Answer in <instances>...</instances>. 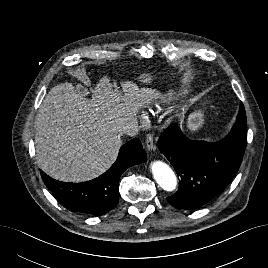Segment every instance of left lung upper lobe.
I'll list each match as a JSON object with an SVG mask.
<instances>
[{
	"mask_svg": "<svg viewBox=\"0 0 268 268\" xmlns=\"http://www.w3.org/2000/svg\"><path fill=\"white\" fill-rule=\"evenodd\" d=\"M246 125H247L246 112L244 107H240L236 118V122L230 133H236L238 141L244 145L247 144Z\"/></svg>",
	"mask_w": 268,
	"mask_h": 268,
	"instance_id": "obj_1",
	"label": "left lung upper lobe"
}]
</instances>
